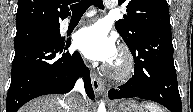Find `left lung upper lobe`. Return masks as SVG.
Returning <instances> with one entry per match:
<instances>
[{
    "label": "left lung upper lobe",
    "instance_id": "5c2ea615",
    "mask_svg": "<svg viewBox=\"0 0 193 112\" xmlns=\"http://www.w3.org/2000/svg\"><path fill=\"white\" fill-rule=\"evenodd\" d=\"M119 3L127 4V15L115 27L129 47L147 33L171 28L166 0H119Z\"/></svg>",
    "mask_w": 193,
    "mask_h": 112
}]
</instances>
